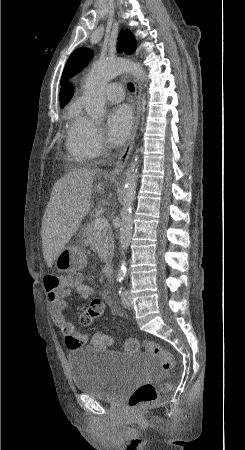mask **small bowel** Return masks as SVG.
<instances>
[{"label": "small bowel", "mask_w": 245, "mask_h": 450, "mask_svg": "<svg viewBox=\"0 0 245 450\" xmlns=\"http://www.w3.org/2000/svg\"><path fill=\"white\" fill-rule=\"evenodd\" d=\"M49 277V276H47ZM106 290L103 294L105 295ZM71 294L78 295L82 300H88L94 294V289L82 283H77L56 291H47V298L50 301V314L53 322L64 334L72 333L75 330L73 324L66 320L65 311L67 303L65 298ZM89 345L97 348H106L113 344L110 336L95 333L90 337Z\"/></svg>", "instance_id": "obj_1"}]
</instances>
